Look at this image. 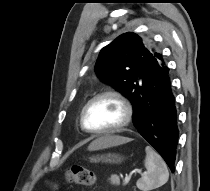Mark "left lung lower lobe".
<instances>
[{
	"label": "left lung lower lobe",
	"instance_id": "0a47b994",
	"mask_svg": "<svg viewBox=\"0 0 210 191\" xmlns=\"http://www.w3.org/2000/svg\"><path fill=\"white\" fill-rule=\"evenodd\" d=\"M168 73L166 65L157 70L154 78L156 84L149 94L142 96L133 123L137 132L157 150L174 172L179 131Z\"/></svg>",
	"mask_w": 210,
	"mask_h": 191
}]
</instances>
